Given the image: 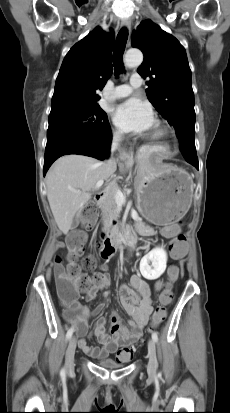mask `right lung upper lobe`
<instances>
[{"instance_id":"right-lung-upper-lobe-1","label":"right lung upper lobe","mask_w":230,"mask_h":413,"mask_svg":"<svg viewBox=\"0 0 230 413\" xmlns=\"http://www.w3.org/2000/svg\"><path fill=\"white\" fill-rule=\"evenodd\" d=\"M114 33L97 26L65 56L56 79L51 110L62 107L99 106L96 93L112 75Z\"/></svg>"}]
</instances>
